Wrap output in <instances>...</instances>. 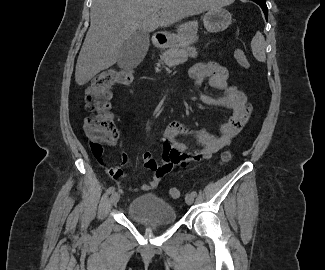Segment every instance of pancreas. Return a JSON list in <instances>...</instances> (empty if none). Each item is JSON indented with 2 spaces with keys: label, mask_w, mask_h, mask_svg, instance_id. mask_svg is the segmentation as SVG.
I'll list each match as a JSON object with an SVG mask.
<instances>
[{
  "label": "pancreas",
  "mask_w": 325,
  "mask_h": 270,
  "mask_svg": "<svg viewBox=\"0 0 325 270\" xmlns=\"http://www.w3.org/2000/svg\"><path fill=\"white\" fill-rule=\"evenodd\" d=\"M197 52L194 47H189L188 44H183L177 48H171L161 55V61L157 64L156 70L159 71L161 64L169 67L182 64L187 61L188 57H196Z\"/></svg>",
  "instance_id": "1"
}]
</instances>
